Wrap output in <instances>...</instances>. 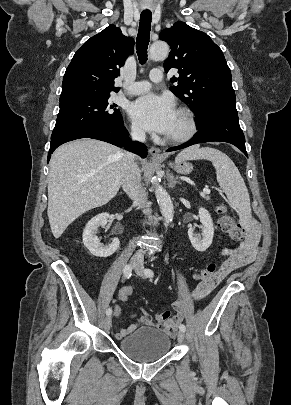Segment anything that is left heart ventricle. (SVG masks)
Wrapping results in <instances>:
<instances>
[{
	"instance_id": "obj_1",
	"label": "left heart ventricle",
	"mask_w": 291,
	"mask_h": 405,
	"mask_svg": "<svg viewBox=\"0 0 291 405\" xmlns=\"http://www.w3.org/2000/svg\"><path fill=\"white\" fill-rule=\"evenodd\" d=\"M185 130V120L182 115L176 112L175 119L167 135H177Z\"/></svg>"
}]
</instances>
